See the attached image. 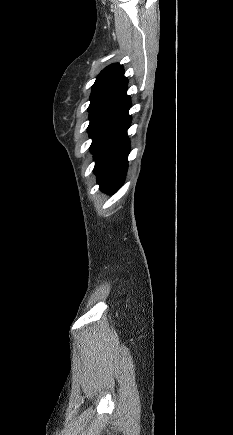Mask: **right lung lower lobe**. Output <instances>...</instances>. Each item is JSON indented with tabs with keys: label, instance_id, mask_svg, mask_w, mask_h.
Masks as SVG:
<instances>
[{
	"label": "right lung lower lobe",
	"instance_id": "98d812e1",
	"mask_svg": "<svg viewBox=\"0 0 233 435\" xmlns=\"http://www.w3.org/2000/svg\"><path fill=\"white\" fill-rule=\"evenodd\" d=\"M130 123L131 116L128 115L93 151L97 182L100 189L109 194L121 187L127 172L130 152L127 130Z\"/></svg>",
	"mask_w": 233,
	"mask_h": 435
}]
</instances>
